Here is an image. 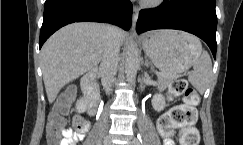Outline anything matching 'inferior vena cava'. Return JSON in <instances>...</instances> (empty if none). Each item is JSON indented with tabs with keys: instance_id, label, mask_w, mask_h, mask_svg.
<instances>
[{
	"instance_id": "obj_1",
	"label": "inferior vena cava",
	"mask_w": 243,
	"mask_h": 145,
	"mask_svg": "<svg viewBox=\"0 0 243 145\" xmlns=\"http://www.w3.org/2000/svg\"><path fill=\"white\" fill-rule=\"evenodd\" d=\"M118 32L119 29L115 26L109 25L107 27L105 48L100 64V71L102 73L101 82L107 93L110 92L112 82L114 81V76L117 72L121 45Z\"/></svg>"
}]
</instances>
